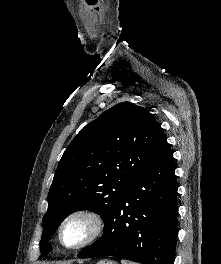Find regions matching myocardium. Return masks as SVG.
Wrapping results in <instances>:
<instances>
[{
    "label": "myocardium",
    "mask_w": 221,
    "mask_h": 264,
    "mask_svg": "<svg viewBox=\"0 0 221 264\" xmlns=\"http://www.w3.org/2000/svg\"><path fill=\"white\" fill-rule=\"evenodd\" d=\"M74 219H84L90 224V233L89 235L80 243L76 245H67L64 243L62 234L64 227ZM105 229V220L103 216L96 210L90 208H77L71 212H69L62 220L58 228V240L60 244L69 250H78L82 249L97 239H99Z\"/></svg>",
    "instance_id": "f54148a6"
}]
</instances>
